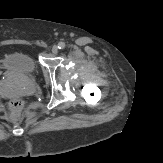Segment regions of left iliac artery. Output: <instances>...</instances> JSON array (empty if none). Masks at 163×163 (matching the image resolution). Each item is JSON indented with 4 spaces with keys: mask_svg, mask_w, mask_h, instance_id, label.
<instances>
[{
    "mask_svg": "<svg viewBox=\"0 0 163 163\" xmlns=\"http://www.w3.org/2000/svg\"><path fill=\"white\" fill-rule=\"evenodd\" d=\"M65 46H66V45H65L64 42H59V43H58V48L61 49V50L64 49Z\"/></svg>",
    "mask_w": 163,
    "mask_h": 163,
    "instance_id": "left-iliac-artery-1",
    "label": "left iliac artery"
}]
</instances>
